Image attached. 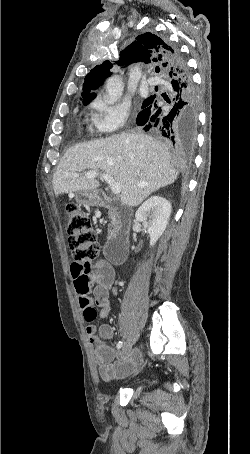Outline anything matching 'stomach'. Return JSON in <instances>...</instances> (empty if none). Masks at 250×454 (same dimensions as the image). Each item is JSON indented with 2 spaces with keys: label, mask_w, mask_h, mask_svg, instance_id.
Returning a JSON list of instances; mask_svg holds the SVG:
<instances>
[{
  "label": "stomach",
  "mask_w": 250,
  "mask_h": 454,
  "mask_svg": "<svg viewBox=\"0 0 250 454\" xmlns=\"http://www.w3.org/2000/svg\"><path fill=\"white\" fill-rule=\"evenodd\" d=\"M78 200L88 205H98L101 198L97 190H87L78 192Z\"/></svg>",
  "instance_id": "1"
}]
</instances>
